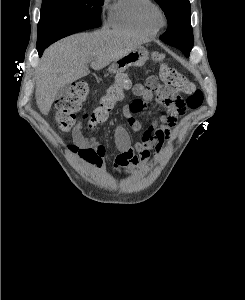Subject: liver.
Wrapping results in <instances>:
<instances>
[{
	"label": "liver",
	"instance_id": "1",
	"mask_svg": "<svg viewBox=\"0 0 245 300\" xmlns=\"http://www.w3.org/2000/svg\"><path fill=\"white\" fill-rule=\"evenodd\" d=\"M142 40L129 33L103 28L93 33H80L67 37L44 52L36 75V102L43 115H47L58 92L70 83L101 70L135 48Z\"/></svg>",
	"mask_w": 245,
	"mask_h": 300
}]
</instances>
